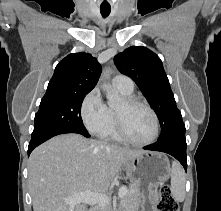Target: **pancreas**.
Instances as JSON below:
<instances>
[{"instance_id": "cf45deb5", "label": "pancreas", "mask_w": 221, "mask_h": 211, "mask_svg": "<svg viewBox=\"0 0 221 211\" xmlns=\"http://www.w3.org/2000/svg\"><path fill=\"white\" fill-rule=\"evenodd\" d=\"M125 196L121 199L124 211H138L139 190L135 184L129 185ZM94 211H110L106 207H96Z\"/></svg>"}]
</instances>
